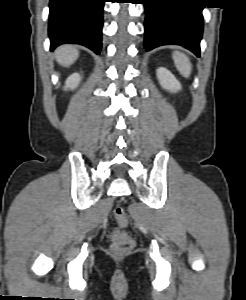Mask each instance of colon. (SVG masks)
<instances>
[{"label":"colon","mask_w":246,"mask_h":300,"mask_svg":"<svg viewBox=\"0 0 246 300\" xmlns=\"http://www.w3.org/2000/svg\"><path fill=\"white\" fill-rule=\"evenodd\" d=\"M113 215L119 227L123 228L127 226L128 219L122 207H115L113 210ZM111 241L112 250L117 255L124 254L125 252L129 251L133 246V239L130 236V234L122 230L114 231L111 234Z\"/></svg>","instance_id":"1"}]
</instances>
